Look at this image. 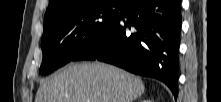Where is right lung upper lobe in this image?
<instances>
[{
    "mask_svg": "<svg viewBox=\"0 0 221 102\" xmlns=\"http://www.w3.org/2000/svg\"><path fill=\"white\" fill-rule=\"evenodd\" d=\"M75 1L80 0H49V6L46 10L44 21L52 18L54 15H56Z\"/></svg>",
    "mask_w": 221,
    "mask_h": 102,
    "instance_id": "right-lung-upper-lobe-1",
    "label": "right lung upper lobe"
}]
</instances>
